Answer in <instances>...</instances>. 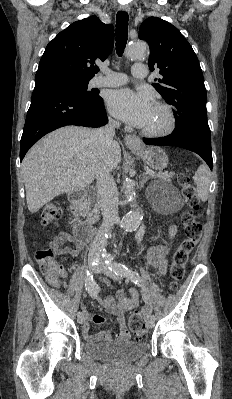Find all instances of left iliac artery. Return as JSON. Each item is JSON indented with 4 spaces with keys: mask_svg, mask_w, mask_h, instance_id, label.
Masks as SVG:
<instances>
[{
    "mask_svg": "<svg viewBox=\"0 0 232 399\" xmlns=\"http://www.w3.org/2000/svg\"><path fill=\"white\" fill-rule=\"evenodd\" d=\"M115 255L109 254L105 263L108 266L110 271H113L117 275H124L128 277L134 284L141 285L142 281L138 274V272L131 270L128 266L123 263H118L114 261ZM152 319H155V315L151 316Z\"/></svg>",
    "mask_w": 232,
    "mask_h": 399,
    "instance_id": "obj_1",
    "label": "left iliac artery"
}]
</instances>
